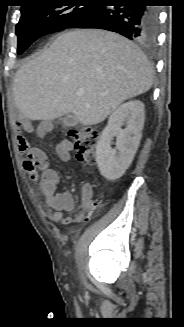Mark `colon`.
I'll list each match as a JSON object with an SVG mask.
<instances>
[{
    "mask_svg": "<svg viewBox=\"0 0 184 327\" xmlns=\"http://www.w3.org/2000/svg\"><path fill=\"white\" fill-rule=\"evenodd\" d=\"M16 128L18 131V148L21 153L28 150L26 140L20 135L24 128V124L17 121ZM69 137L73 143L77 158L86 165H92L95 162V149L99 139V133L92 127H84L81 129L71 130Z\"/></svg>",
    "mask_w": 184,
    "mask_h": 327,
    "instance_id": "5ec220e1",
    "label": "colon"
}]
</instances>
